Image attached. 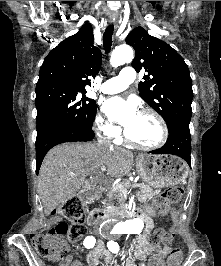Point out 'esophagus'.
<instances>
[{"mask_svg":"<svg viewBox=\"0 0 221 266\" xmlns=\"http://www.w3.org/2000/svg\"><path fill=\"white\" fill-rule=\"evenodd\" d=\"M110 23L113 24V25H115V26H117L115 19L110 20Z\"/></svg>","mask_w":221,"mask_h":266,"instance_id":"obj_1","label":"esophagus"}]
</instances>
